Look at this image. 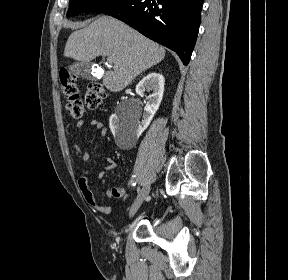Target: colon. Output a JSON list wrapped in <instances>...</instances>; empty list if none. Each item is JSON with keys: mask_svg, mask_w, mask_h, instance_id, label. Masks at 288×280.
Masks as SVG:
<instances>
[{"mask_svg": "<svg viewBox=\"0 0 288 280\" xmlns=\"http://www.w3.org/2000/svg\"><path fill=\"white\" fill-rule=\"evenodd\" d=\"M60 81L63 93L67 99V109L70 115L75 119H79L83 116L84 105L88 109H96L101 105L105 98L103 86L100 83L91 82L87 86L83 104L80 99L75 76L63 69L60 72Z\"/></svg>", "mask_w": 288, "mask_h": 280, "instance_id": "colon-1", "label": "colon"}]
</instances>
